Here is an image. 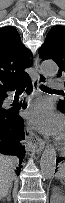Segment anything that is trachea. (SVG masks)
Here are the masks:
<instances>
[{
    "label": "trachea",
    "mask_w": 65,
    "mask_h": 203,
    "mask_svg": "<svg viewBox=\"0 0 65 203\" xmlns=\"http://www.w3.org/2000/svg\"><path fill=\"white\" fill-rule=\"evenodd\" d=\"M40 88H41V90H43V91H55V90H52V89H50V88H48V87H46V86H44V85H41ZM24 89H25V88H19L17 91H23Z\"/></svg>",
    "instance_id": "3493384b"
}]
</instances>
